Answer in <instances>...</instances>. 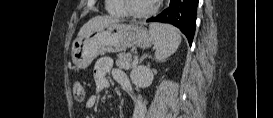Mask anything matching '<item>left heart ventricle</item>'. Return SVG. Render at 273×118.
I'll return each mask as SVG.
<instances>
[{
    "label": "left heart ventricle",
    "mask_w": 273,
    "mask_h": 118,
    "mask_svg": "<svg viewBox=\"0 0 273 118\" xmlns=\"http://www.w3.org/2000/svg\"><path fill=\"white\" fill-rule=\"evenodd\" d=\"M152 3V0H130L132 10L137 12L147 11L151 7Z\"/></svg>",
    "instance_id": "obj_1"
}]
</instances>
